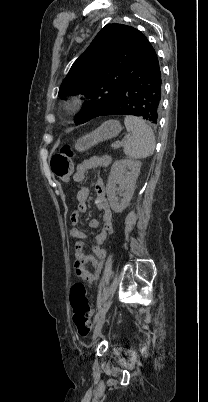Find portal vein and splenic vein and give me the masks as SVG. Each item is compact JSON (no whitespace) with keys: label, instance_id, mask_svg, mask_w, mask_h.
I'll list each match as a JSON object with an SVG mask.
<instances>
[{"label":"portal vein and splenic vein","instance_id":"obj_1","mask_svg":"<svg viewBox=\"0 0 208 402\" xmlns=\"http://www.w3.org/2000/svg\"><path fill=\"white\" fill-rule=\"evenodd\" d=\"M121 144H124V142H115V144H112L113 149H119Z\"/></svg>","mask_w":208,"mask_h":402}]
</instances>
